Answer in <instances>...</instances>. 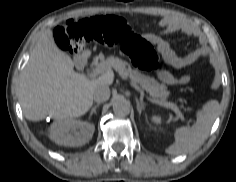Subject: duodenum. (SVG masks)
I'll use <instances>...</instances> for the list:
<instances>
[{
  "instance_id": "obj_1",
  "label": "duodenum",
  "mask_w": 236,
  "mask_h": 182,
  "mask_svg": "<svg viewBox=\"0 0 236 182\" xmlns=\"http://www.w3.org/2000/svg\"><path fill=\"white\" fill-rule=\"evenodd\" d=\"M76 63H77L78 69L84 72L87 68L88 60L84 56H79Z\"/></svg>"
}]
</instances>
